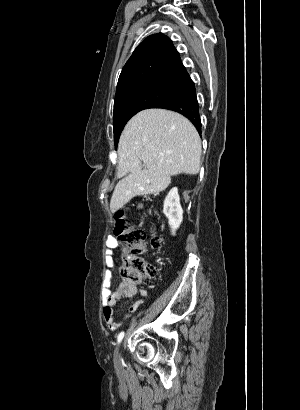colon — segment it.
<instances>
[{
    "label": "colon",
    "instance_id": "1",
    "mask_svg": "<svg viewBox=\"0 0 300 410\" xmlns=\"http://www.w3.org/2000/svg\"><path fill=\"white\" fill-rule=\"evenodd\" d=\"M115 232L117 238L130 248V254L123 259L120 276L127 283H137L155 274L154 268L140 256L146 251L148 233L139 228H133L125 222L123 212L116 215ZM152 248H159L161 241L155 235L150 236Z\"/></svg>",
    "mask_w": 300,
    "mask_h": 410
}]
</instances>
